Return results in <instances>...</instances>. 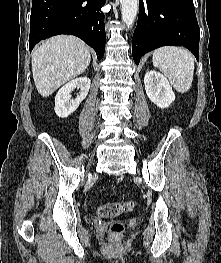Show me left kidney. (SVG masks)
Returning a JSON list of instances; mask_svg holds the SVG:
<instances>
[{
  "instance_id": "1",
  "label": "left kidney",
  "mask_w": 221,
  "mask_h": 263,
  "mask_svg": "<svg viewBox=\"0 0 221 263\" xmlns=\"http://www.w3.org/2000/svg\"><path fill=\"white\" fill-rule=\"evenodd\" d=\"M145 90L148 98L159 108H167L175 100V94L166 77L150 70L144 77Z\"/></svg>"
}]
</instances>
